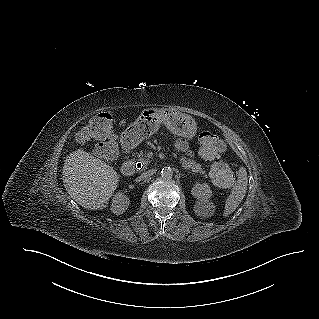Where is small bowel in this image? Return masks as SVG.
I'll use <instances>...</instances> for the list:
<instances>
[{
    "mask_svg": "<svg viewBox=\"0 0 319 319\" xmlns=\"http://www.w3.org/2000/svg\"><path fill=\"white\" fill-rule=\"evenodd\" d=\"M118 113L121 115V116H126L128 113H129V108L126 106V105H121L119 108H118ZM176 147L180 150H187L186 148V144L183 140H179L176 144Z\"/></svg>",
    "mask_w": 319,
    "mask_h": 319,
    "instance_id": "1",
    "label": "small bowel"
}]
</instances>
